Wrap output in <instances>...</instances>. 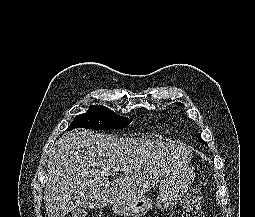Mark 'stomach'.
I'll return each instance as SVG.
<instances>
[{
  "instance_id": "0dacf381",
  "label": "stomach",
  "mask_w": 255,
  "mask_h": 217,
  "mask_svg": "<svg viewBox=\"0 0 255 217\" xmlns=\"http://www.w3.org/2000/svg\"><path fill=\"white\" fill-rule=\"evenodd\" d=\"M194 177V170L188 165H184L169 176L164 177L160 181L156 206L162 210L172 208L183 197ZM151 208V200L142 196L134 200L115 203L112 210L122 217H143Z\"/></svg>"
}]
</instances>
